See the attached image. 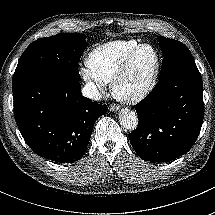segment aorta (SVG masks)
I'll return each mask as SVG.
<instances>
[{
	"label": "aorta",
	"mask_w": 215,
	"mask_h": 215,
	"mask_svg": "<svg viewBox=\"0 0 215 215\" xmlns=\"http://www.w3.org/2000/svg\"><path fill=\"white\" fill-rule=\"evenodd\" d=\"M119 120H120V124L125 129H128V130H134V129H136V127L138 125L137 113L128 108L121 110Z\"/></svg>",
	"instance_id": "1"
}]
</instances>
